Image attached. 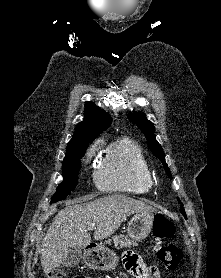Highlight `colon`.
I'll return each mask as SVG.
<instances>
[{
    "label": "colon",
    "mask_w": 221,
    "mask_h": 278,
    "mask_svg": "<svg viewBox=\"0 0 221 278\" xmlns=\"http://www.w3.org/2000/svg\"><path fill=\"white\" fill-rule=\"evenodd\" d=\"M174 224L164 215L157 214L153 222V238L154 251L157 258L161 262L165 270H173L178 267L182 259V251L176 245L170 243V239L174 236ZM159 271L156 267H150V275L152 278L158 275ZM47 278H89L87 276H70L65 270H55L51 272Z\"/></svg>",
    "instance_id": "obj_1"
}]
</instances>
